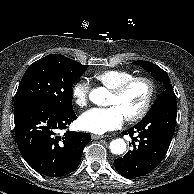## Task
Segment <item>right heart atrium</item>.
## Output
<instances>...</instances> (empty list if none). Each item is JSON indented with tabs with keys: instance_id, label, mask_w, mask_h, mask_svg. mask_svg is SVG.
I'll return each instance as SVG.
<instances>
[{
	"instance_id": "d8ad5b80",
	"label": "right heart atrium",
	"mask_w": 194,
	"mask_h": 194,
	"mask_svg": "<svg viewBox=\"0 0 194 194\" xmlns=\"http://www.w3.org/2000/svg\"><path fill=\"white\" fill-rule=\"evenodd\" d=\"M90 83L87 79H78L71 88V96L74 103L79 107H84L88 102Z\"/></svg>"
}]
</instances>
